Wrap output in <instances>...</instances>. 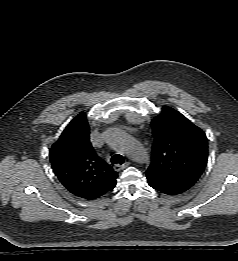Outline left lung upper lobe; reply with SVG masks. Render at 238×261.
<instances>
[{
  "label": "left lung upper lobe",
  "instance_id": "obj_1",
  "mask_svg": "<svg viewBox=\"0 0 238 261\" xmlns=\"http://www.w3.org/2000/svg\"><path fill=\"white\" fill-rule=\"evenodd\" d=\"M152 162L148 182L174 195L191 188L207 164L205 133L177 110L164 106L152 120Z\"/></svg>",
  "mask_w": 238,
  "mask_h": 261
}]
</instances>
